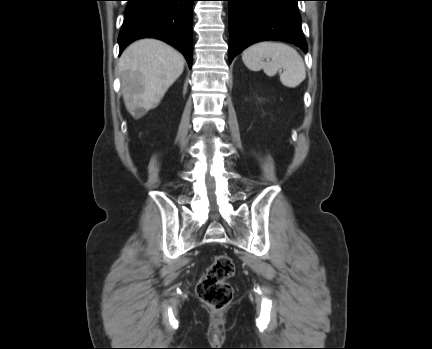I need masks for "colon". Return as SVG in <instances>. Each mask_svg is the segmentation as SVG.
I'll use <instances>...</instances> for the list:
<instances>
[{
	"instance_id": "1",
	"label": "colon",
	"mask_w": 432,
	"mask_h": 349,
	"mask_svg": "<svg viewBox=\"0 0 432 349\" xmlns=\"http://www.w3.org/2000/svg\"><path fill=\"white\" fill-rule=\"evenodd\" d=\"M234 272L235 265L230 257L216 255L197 285L198 297L216 310L224 309L233 298V287L228 279Z\"/></svg>"
}]
</instances>
